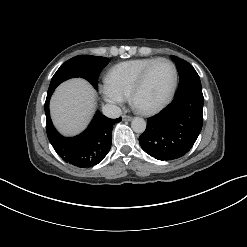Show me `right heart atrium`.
I'll use <instances>...</instances> for the list:
<instances>
[{
    "instance_id": "d8ad5b80",
    "label": "right heart atrium",
    "mask_w": 247,
    "mask_h": 247,
    "mask_svg": "<svg viewBox=\"0 0 247 247\" xmlns=\"http://www.w3.org/2000/svg\"><path fill=\"white\" fill-rule=\"evenodd\" d=\"M101 92L104 100L113 106L122 105L127 98L126 93L115 87L107 79L101 84Z\"/></svg>"
}]
</instances>
